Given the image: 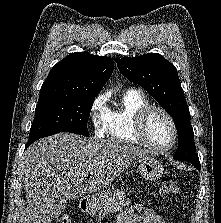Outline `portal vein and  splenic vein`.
Instances as JSON below:
<instances>
[{"label":"portal vein and splenic vein","mask_w":221,"mask_h":223,"mask_svg":"<svg viewBox=\"0 0 221 223\" xmlns=\"http://www.w3.org/2000/svg\"><path fill=\"white\" fill-rule=\"evenodd\" d=\"M81 179H82V180H86V177H82Z\"/></svg>","instance_id":"portal-vein-and-splenic-vein-1"}]
</instances>
